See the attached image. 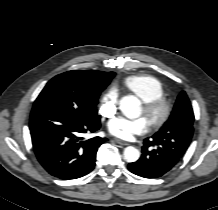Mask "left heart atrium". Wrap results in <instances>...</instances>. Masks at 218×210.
Instances as JSON below:
<instances>
[{
    "instance_id": "39dd6f15",
    "label": "left heart atrium",
    "mask_w": 218,
    "mask_h": 210,
    "mask_svg": "<svg viewBox=\"0 0 218 210\" xmlns=\"http://www.w3.org/2000/svg\"><path fill=\"white\" fill-rule=\"evenodd\" d=\"M148 129L149 122L144 117L136 119L119 117L113 119L109 124L110 134L123 140H131L136 135H143Z\"/></svg>"
}]
</instances>
